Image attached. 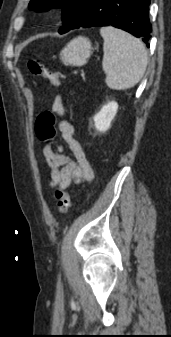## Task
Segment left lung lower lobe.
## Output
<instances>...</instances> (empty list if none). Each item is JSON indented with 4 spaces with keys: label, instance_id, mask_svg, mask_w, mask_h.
Listing matches in <instances>:
<instances>
[{
    "label": "left lung lower lobe",
    "instance_id": "1",
    "mask_svg": "<svg viewBox=\"0 0 171 337\" xmlns=\"http://www.w3.org/2000/svg\"><path fill=\"white\" fill-rule=\"evenodd\" d=\"M150 1L86 0L71 29L111 25L142 38L149 47L152 32L148 14Z\"/></svg>",
    "mask_w": 171,
    "mask_h": 337
}]
</instances>
